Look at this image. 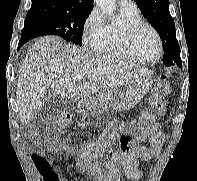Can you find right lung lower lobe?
<instances>
[{"mask_svg": "<svg viewBox=\"0 0 197 181\" xmlns=\"http://www.w3.org/2000/svg\"><path fill=\"white\" fill-rule=\"evenodd\" d=\"M29 40H30L29 37L21 36V39H20L19 44H18V48H20L22 45H24Z\"/></svg>", "mask_w": 197, "mask_h": 181, "instance_id": "1", "label": "right lung lower lobe"}]
</instances>
